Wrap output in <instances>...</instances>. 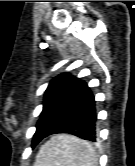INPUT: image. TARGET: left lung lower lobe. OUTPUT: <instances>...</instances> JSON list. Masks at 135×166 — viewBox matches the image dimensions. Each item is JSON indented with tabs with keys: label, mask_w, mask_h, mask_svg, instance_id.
<instances>
[{
	"label": "left lung lower lobe",
	"mask_w": 135,
	"mask_h": 166,
	"mask_svg": "<svg viewBox=\"0 0 135 166\" xmlns=\"http://www.w3.org/2000/svg\"><path fill=\"white\" fill-rule=\"evenodd\" d=\"M54 107L51 114L37 128L32 147L55 133H69L85 140L96 141V101L84 81H78L67 96Z\"/></svg>",
	"instance_id": "left-lung-lower-lobe-1"
}]
</instances>
